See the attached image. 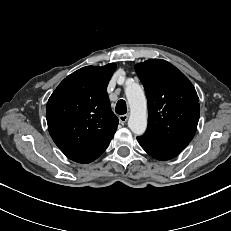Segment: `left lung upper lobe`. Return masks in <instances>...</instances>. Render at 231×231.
<instances>
[{
	"label": "left lung upper lobe",
	"mask_w": 231,
	"mask_h": 231,
	"mask_svg": "<svg viewBox=\"0 0 231 231\" xmlns=\"http://www.w3.org/2000/svg\"><path fill=\"white\" fill-rule=\"evenodd\" d=\"M148 100L145 136L183 151L196 132L200 106L196 90L175 66L150 59L135 66Z\"/></svg>",
	"instance_id": "left-lung-upper-lobe-1"
}]
</instances>
